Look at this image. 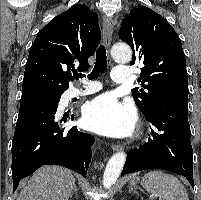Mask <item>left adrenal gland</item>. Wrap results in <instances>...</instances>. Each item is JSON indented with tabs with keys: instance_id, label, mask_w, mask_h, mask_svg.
<instances>
[{
	"instance_id": "1",
	"label": "left adrenal gland",
	"mask_w": 201,
	"mask_h": 200,
	"mask_svg": "<svg viewBox=\"0 0 201 200\" xmlns=\"http://www.w3.org/2000/svg\"><path fill=\"white\" fill-rule=\"evenodd\" d=\"M134 192L136 195H139L136 189H134L132 186L129 189V193Z\"/></svg>"
}]
</instances>
